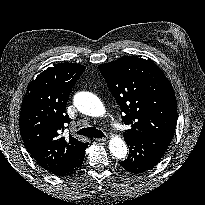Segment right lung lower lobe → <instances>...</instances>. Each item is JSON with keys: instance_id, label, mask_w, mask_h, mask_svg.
<instances>
[{"instance_id": "1", "label": "right lung lower lobe", "mask_w": 205, "mask_h": 205, "mask_svg": "<svg viewBox=\"0 0 205 205\" xmlns=\"http://www.w3.org/2000/svg\"><path fill=\"white\" fill-rule=\"evenodd\" d=\"M85 156V149L72 158L66 165L53 172L57 176H65L74 173L82 164Z\"/></svg>"}]
</instances>
